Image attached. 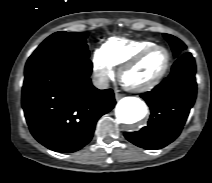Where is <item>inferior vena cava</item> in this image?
Listing matches in <instances>:
<instances>
[{
	"mask_svg": "<svg viewBox=\"0 0 212 183\" xmlns=\"http://www.w3.org/2000/svg\"><path fill=\"white\" fill-rule=\"evenodd\" d=\"M93 84L98 89H106L109 86V78L104 74H96L93 79Z\"/></svg>",
	"mask_w": 212,
	"mask_h": 183,
	"instance_id": "inferior-vena-cava-1",
	"label": "inferior vena cava"
}]
</instances>
